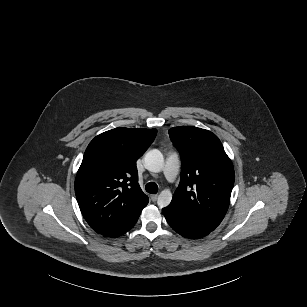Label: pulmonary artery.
<instances>
[{
  "instance_id": "e3ab8cb5",
  "label": "pulmonary artery",
  "mask_w": 307,
  "mask_h": 307,
  "mask_svg": "<svg viewBox=\"0 0 307 307\" xmlns=\"http://www.w3.org/2000/svg\"><path fill=\"white\" fill-rule=\"evenodd\" d=\"M169 158L166 161L162 178L172 187L179 184L180 179L177 174L182 168V153L181 151L173 147L168 152Z\"/></svg>"
}]
</instances>
